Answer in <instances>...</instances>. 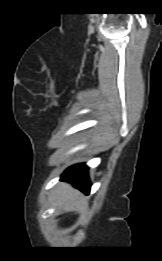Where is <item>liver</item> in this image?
Wrapping results in <instances>:
<instances>
[{"instance_id": "6515ba94", "label": "liver", "mask_w": 162, "mask_h": 261, "mask_svg": "<svg viewBox=\"0 0 162 261\" xmlns=\"http://www.w3.org/2000/svg\"><path fill=\"white\" fill-rule=\"evenodd\" d=\"M61 191V203L65 207H75L81 203H83L82 198L79 194L74 191L68 184L64 183L60 185Z\"/></svg>"}]
</instances>
